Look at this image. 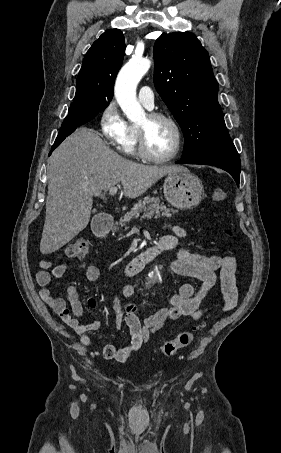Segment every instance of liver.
<instances>
[{"label":"liver","instance_id":"6515ba94","mask_svg":"<svg viewBox=\"0 0 281 453\" xmlns=\"http://www.w3.org/2000/svg\"><path fill=\"white\" fill-rule=\"evenodd\" d=\"M186 166L139 164L107 146L94 128H77L52 152L40 251L50 255L86 229L93 198L121 182L124 196L136 198L169 172Z\"/></svg>","mask_w":281,"mask_h":453}]
</instances>
